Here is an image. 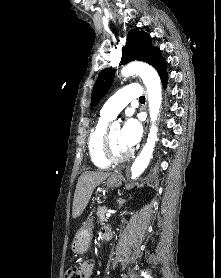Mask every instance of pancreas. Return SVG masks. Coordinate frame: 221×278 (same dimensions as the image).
Masks as SVG:
<instances>
[{
	"label": "pancreas",
	"instance_id": "cf45deb5",
	"mask_svg": "<svg viewBox=\"0 0 221 278\" xmlns=\"http://www.w3.org/2000/svg\"><path fill=\"white\" fill-rule=\"evenodd\" d=\"M106 213H107V208L106 207H99L97 210V217L100 221V223H104L108 221V218L106 217Z\"/></svg>",
	"mask_w": 221,
	"mask_h": 278
}]
</instances>
